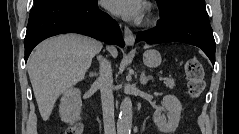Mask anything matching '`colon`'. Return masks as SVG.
<instances>
[{
  "label": "colon",
  "instance_id": "1",
  "mask_svg": "<svg viewBox=\"0 0 239 134\" xmlns=\"http://www.w3.org/2000/svg\"><path fill=\"white\" fill-rule=\"evenodd\" d=\"M185 72L188 79V94L191 98L199 97L206 86L205 70L202 63L196 58H190L185 62ZM82 125L76 124L68 128L65 134H81Z\"/></svg>",
  "mask_w": 239,
  "mask_h": 134
}]
</instances>
